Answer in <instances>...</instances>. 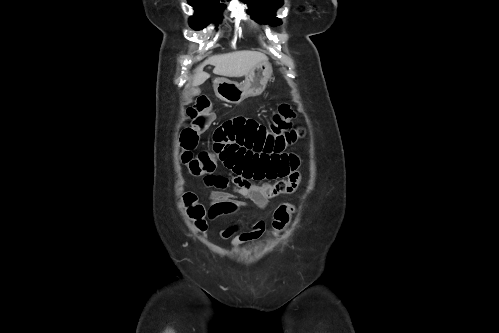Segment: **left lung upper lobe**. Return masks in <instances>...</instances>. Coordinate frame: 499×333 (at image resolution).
I'll use <instances>...</instances> for the list:
<instances>
[{
  "instance_id": "obj_1",
  "label": "left lung upper lobe",
  "mask_w": 499,
  "mask_h": 333,
  "mask_svg": "<svg viewBox=\"0 0 499 333\" xmlns=\"http://www.w3.org/2000/svg\"><path fill=\"white\" fill-rule=\"evenodd\" d=\"M249 6L248 11L252 15H257L259 23L276 26L281 24V20L275 17V10L282 6L283 0H242Z\"/></svg>"
}]
</instances>
